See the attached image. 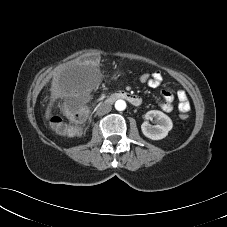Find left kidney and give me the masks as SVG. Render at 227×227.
<instances>
[{
  "instance_id": "obj_1",
  "label": "left kidney",
  "mask_w": 227,
  "mask_h": 227,
  "mask_svg": "<svg viewBox=\"0 0 227 227\" xmlns=\"http://www.w3.org/2000/svg\"><path fill=\"white\" fill-rule=\"evenodd\" d=\"M146 120L156 119L158 124L152 126L148 121L141 125L142 133L149 139L161 140L165 138L169 131L173 128L172 120L163 112L158 110H151L145 114Z\"/></svg>"
}]
</instances>
